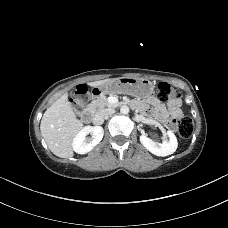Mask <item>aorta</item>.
Segmentation results:
<instances>
[{
	"mask_svg": "<svg viewBox=\"0 0 228 228\" xmlns=\"http://www.w3.org/2000/svg\"><path fill=\"white\" fill-rule=\"evenodd\" d=\"M120 112L122 114H128L129 113V107L126 106V105H123L121 108H120Z\"/></svg>",
	"mask_w": 228,
	"mask_h": 228,
	"instance_id": "obj_1",
	"label": "aorta"
}]
</instances>
